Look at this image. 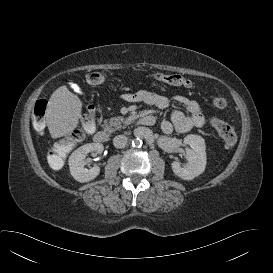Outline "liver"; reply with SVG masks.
<instances>
[{
	"label": "liver",
	"mask_w": 273,
	"mask_h": 273,
	"mask_svg": "<svg viewBox=\"0 0 273 273\" xmlns=\"http://www.w3.org/2000/svg\"><path fill=\"white\" fill-rule=\"evenodd\" d=\"M82 102L66 86L51 95L46 110V122L52 138L69 135L79 124Z\"/></svg>",
	"instance_id": "1"
}]
</instances>
